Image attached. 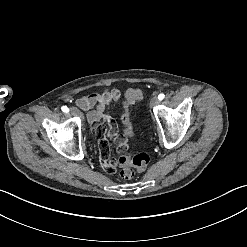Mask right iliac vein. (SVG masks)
Instances as JSON below:
<instances>
[{"instance_id": "right-iliac-vein-1", "label": "right iliac vein", "mask_w": 247, "mask_h": 247, "mask_svg": "<svg viewBox=\"0 0 247 247\" xmlns=\"http://www.w3.org/2000/svg\"><path fill=\"white\" fill-rule=\"evenodd\" d=\"M71 114L74 116L80 115L79 111L75 107L71 108Z\"/></svg>"}]
</instances>
